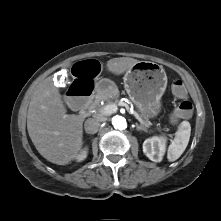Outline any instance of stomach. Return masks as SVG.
I'll return each mask as SVG.
<instances>
[{
    "instance_id": "stomach-1",
    "label": "stomach",
    "mask_w": 221,
    "mask_h": 221,
    "mask_svg": "<svg viewBox=\"0 0 221 221\" xmlns=\"http://www.w3.org/2000/svg\"><path fill=\"white\" fill-rule=\"evenodd\" d=\"M124 87L134 105L145 118H154L161 111V97L167 86L163 67L150 61H139L124 76Z\"/></svg>"
}]
</instances>
